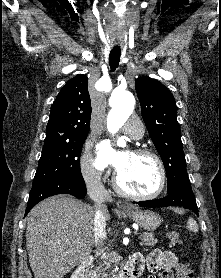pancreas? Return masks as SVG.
<instances>
[{"instance_id": "1", "label": "pancreas", "mask_w": 221, "mask_h": 278, "mask_svg": "<svg viewBox=\"0 0 221 278\" xmlns=\"http://www.w3.org/2000/svg\"><path fill=\"white\" fill-rule=\"evenodd\" d=\"M140 237L143 243L147 246L154 247L157 242V239L152 233H143ZM104 259L103 263L94 270L96 278L105 277L107 275L106 272L110 271L111 265L117 267L120 263L121 257L116 254H108L104 257Z\"/></svg>"}]
</instances>
